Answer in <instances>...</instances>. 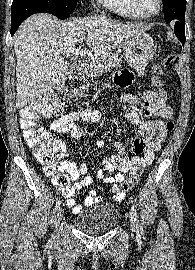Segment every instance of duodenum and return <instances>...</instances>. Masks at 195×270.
<instances>
[{
  "label": "duodenum",
  "mask_w": 195,
  "mask_h": 270,
  "mask_svg": "<svg viewBox=\"0 0 195 270\" xmlns=\"http://www.w3.org/2000/svg\"><path fill=\"white\" fill-rule=\"evenodd\" d=\"M80 74L83 76H87L88 75V68L86 65L82 64L79 68Z\"/></svg>",
  "instance_id": "obj_1"
}]
</instances>
